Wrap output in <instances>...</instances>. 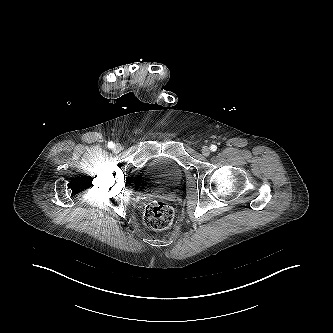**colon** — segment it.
<instances>
[{
	"mask_svg": "<svg viewBox=\"0 0 333 333\" xmlns=\"http://www.w3.org/2000/svg\"><path fill=\"white\" fill-rule=\"evenodd\" d=\"M173 217L172 207L162 201H154L148 204L143 214L145 224L154 230H162L169 227Z\"/></svg>",
	"mask_w": 333,
	"mask_h": 333,
	"instance_id": "1",
	"label": "colon"
}]
</instances>
